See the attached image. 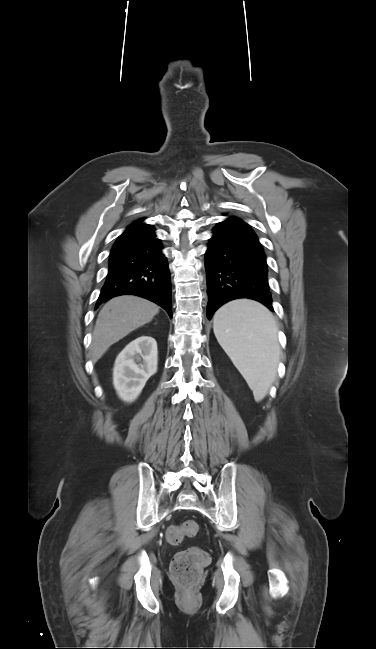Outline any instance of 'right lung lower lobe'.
Masks as SVG:
<instances>
[{
	"label": "right lung lower lobe",
	"instance_id": "1",
	"mask_svg": "<svg viewBox=\"0 0 376 649\" xmlns=\"http://www.w3.org/2000/svg\"><path fill=\"white\" fill-rule=\"evenodd\" d=\"M154 228L119 237L109 257V271L96 307L119 295L146 298L172 318L171 280Z\"/></svg>",
	"mask_w": 376,
	"mask_h": 649
}]
</instances>
